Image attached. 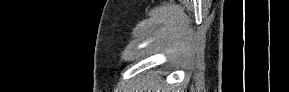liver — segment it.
Segmentation results:
<instances>
[{
    "label": "liver",
    "instance_id": "6515ba94",
    "mask_svg": "<svg viewBox=\"0 0 289 92\" xmlns=\"http://www.w3.org/2000/svg\"><path fill=\"white\" fill-rule=\"evenodd\" d=\"M160 83L157 81H151L149 78H142L139 77L137 80L132 84L131 88L129 89L130 92H160ZM163 92H168L166 88L162 89Z\"/></svg>",
    "mask_w": 289,
    "mask_h": 92
}]
</instances>
